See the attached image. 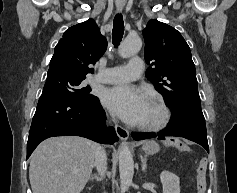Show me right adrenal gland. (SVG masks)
<instances>
[{"mask_svg":"<svg viewBox=\"0 0 237 193\" xmlns=\"http://www.w3.org/2000/svg\"><path fill=\"white\" fill-rule=\"evenodd\" d=\"M89 179L90 180H96L97 182H100V181L103 180V176L102 175L93 174L92 176H90Z\"/></svg>","mask_w":237,"mask_h":193,"instance_id":"obj_1","label":"right adrenal gland"}]
</instances>
